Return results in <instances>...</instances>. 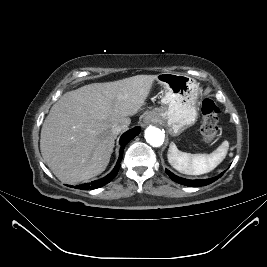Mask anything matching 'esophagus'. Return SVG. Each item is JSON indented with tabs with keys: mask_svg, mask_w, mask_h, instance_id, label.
Listing matches in <instances>:
<instances>
[{
	"mask_svg": "<svg viewBox=\"0 0 267 267\" xmlns=\"http://www.w3.org/2000/svg\"><path fill=\"white\" fill-rule=\"evenodd\" d=\"M153 119H154V116H152V115H147V116L144 118V123L148 124V123H150Z\"/></svg>",
	"mask_w": 267,
	"mask_h": 267,
	"instance_id": "obj_1",
	"label": "esophagus"
}]
</instances>
